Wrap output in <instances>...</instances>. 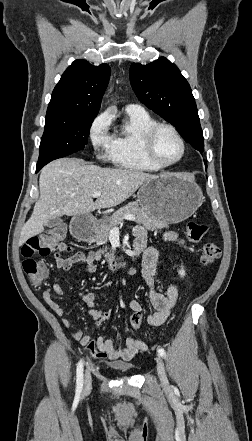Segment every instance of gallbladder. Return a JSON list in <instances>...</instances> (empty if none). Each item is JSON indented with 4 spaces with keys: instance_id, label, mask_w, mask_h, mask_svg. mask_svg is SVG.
<instances>
[{
    "instance_id": "bac80fb5",
    "label": "gallbladder",
    "mask_w": 252,
    "mask_h": 441,
    "mask_svg": "<svg viewBox=\"0 0 252 441\" xmlns=\"http://www.w3.org/2000/svg\"><path fill=\"white\" fill-rule=\"evenodd\" d=\"M62 222L63 221H62V219L60 217H55V218H52L49 221H47L45 226L48 227V228H52V227L60 225Z\"/></svg>"
}]
</instances>
